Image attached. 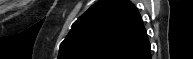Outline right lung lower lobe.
<instances>
[{"mask_svg": "<svg viewBox=\"0 0 193 59\" xmlns=\"http://www.w3.org/2000/svg\"><path fill=\"white\" fill-rule=\"evenodd\" d=\"M127 59H151L150 43L127 57Z\"/></svg>", "mask_w": 193, "mask_h": 59, "instance_id": "obj_1", "label": "right lung lower lobe"}]
</instances>
